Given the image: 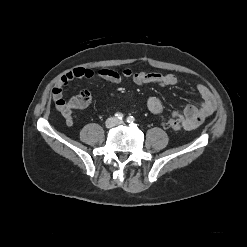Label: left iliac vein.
<instances>
[{"instance_id":"1","label":"left iliac vein","mask_w":247,"mask_h":247,"mask_svg":"<svg viewBox=\"0 0 247 247\" xmlns=\"http://www.w3.org/2000/svg\"><path fill=\"white\" fill-rule=\"evenodd\" d=\"M123 124H125L124 121H119V120L116 121V125H123Z\"/></svg>"}]
</instances>
